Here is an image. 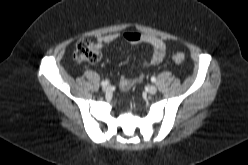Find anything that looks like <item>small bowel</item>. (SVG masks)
<instances>
[{
    "instance_id": "1",
    "label": "small bowel",
    "mask_w": 248,
    "mask_h": 165,
    "mask_svg": "<svg viewBox=\"0 0 248 165\" xmlns=\"http://www.w3.org/2000/svg\"><path fill=\"white\" fill-rule=\"evenodd\" d=\"M125 40L131 44H145L151 48V55L145 60L146 66L160 63L166 52V43L159 37L150 34H139L136 32L113 33L96 38V47L104 48L112 45L116 40ZM143 76L136 78L122 77L119 81V87L122 90H129L140 83Z\"/></svg>"
}]
</instances>
